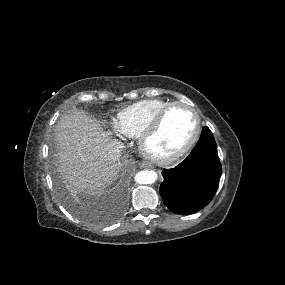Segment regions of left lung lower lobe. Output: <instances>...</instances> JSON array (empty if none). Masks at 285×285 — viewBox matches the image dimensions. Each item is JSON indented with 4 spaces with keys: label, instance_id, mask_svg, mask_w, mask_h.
<instances>
[{
    "label": "left lung lower lobe",
    "instance_id": "obj_1",
    "mask_svg": "<svg viewBox=\"0 0 285 285\" xmlns=\"http://www.w3.org/2000/svg\"><path fill=\"white\" fill-rule=\"evenodd\" d=\"M222 167L212 132L204 127L200 139L187 158L173 169H164L160 195L176 214H191L214 197Z\"/></svg>",
    "mask_w": 285,
    "mask_h": 285
}]
</instances>
